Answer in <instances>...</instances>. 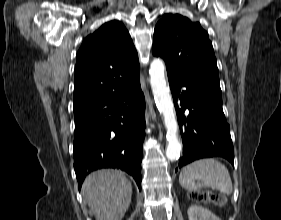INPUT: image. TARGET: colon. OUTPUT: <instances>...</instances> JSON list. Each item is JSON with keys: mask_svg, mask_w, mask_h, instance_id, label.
I'll list each match as a JSON object with an SVG mask.
<instances>
[{"mask_svg": "<svg viewBox=\"0 0 281 220\" xmlns=\"http://www.w3.org/2000/svg\"><path fill=\"white\" fill-rule=\"evenodd\" d=\"M189 196L192 200L212 203L218 206H222L226 202V198L223 195L214 194L212 192H205L201 190L192 191L190 192Z\"/></svg>", "mask_w": 281, "mask_h": 220, "instance_id": "5ec220e1", "label": "colon"}]
</instances>
